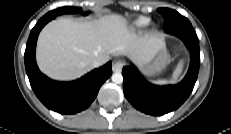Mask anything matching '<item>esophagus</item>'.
<instances>
[{
	"label": "esophagus",
	"mask_w": 231,
	"mask_h": 134,
	"mask_svg": "<svg viewBox=\"0 0 231 134\" xmlns=\"http://www.w3.org/2000/svg\"><path fill=\"white\" fill-rule=\"evenodd\" d=\"M124 66H125V61L119 59V60H116L113 63L112 69H113L114 72H120L123 69Z\"/></svg>",
	"instance_id": "obj_1"
}]
</instances>
